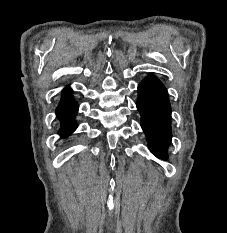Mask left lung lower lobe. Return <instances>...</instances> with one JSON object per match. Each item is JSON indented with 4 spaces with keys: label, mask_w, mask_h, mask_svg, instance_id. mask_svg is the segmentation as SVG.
Returning a JSON list of instances; mask_svg holds the SVG:
<instances>
[{
    "label": "left lung lower lobe",
    "mask_w": 227,
    "mask_h": 233,
    "mask_svg": "<svg viewBox=\"0 0 227 233\" xmlns=\"http://www.w3.org/2000/svg\"><path fill=\"white\" fill-rule=\"evenodd\" d=\"M137 109L141 127L151 152L167 159L171 142V107L165 86L154 76L146 77L138 86Z\"/></svg>",
    "instance_id": "obj_1"
}]
</instances>
